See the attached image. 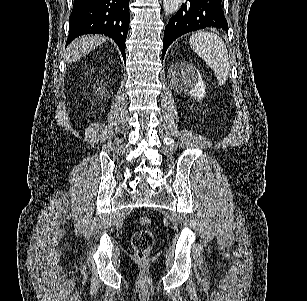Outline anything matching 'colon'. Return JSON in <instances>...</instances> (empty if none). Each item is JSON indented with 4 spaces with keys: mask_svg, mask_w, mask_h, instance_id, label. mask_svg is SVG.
<instances>
[{
    "mask_svg": "<svg viewBox=\"0 0 307 301\" xmlns=\"http://www.w3.org/2000/svg\"><path fill=\"white\" fill-rule=\"evenodd\" d=\"M139 223L141 228L133 234L131 243L137 259L139 261H146L153 248L155 237L150 230L152 221L149 217H141Z\"/></svg>",
    "mask_w": 307,
    "mask_h": 301,
    "instance_id": "1",
    "label": "colon"
}]
</instances>
